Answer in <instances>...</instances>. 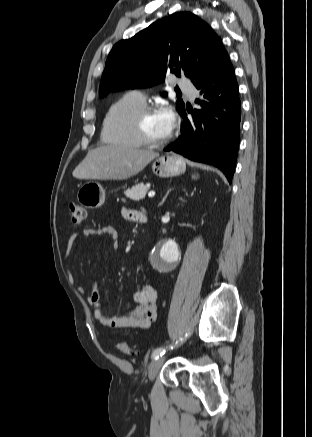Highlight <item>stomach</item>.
I'll list each match as a JSON object with an SVG mask.
<instances>
[{
	"instance_id": "obj_1",
	"label": "stomach",
	"mask_w": 312,
	"mask_h": 437,
	"mask_svg": "<svg viewBox=\"0 0 312 437\" xmlns=\"http://www.w3.org/2000/svg\"><path fill=\"white\" fill-rule=\"evenodd\" d=\"M186 164L177 154H166L158 157L152 164V171L162 178L174 177L185 172ZM78 202L89 209H97L105 202V190L96 181L84 183L77 193Z\"/></svg>"
}]
</instances>
